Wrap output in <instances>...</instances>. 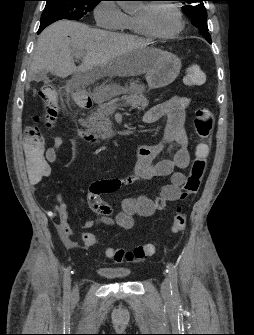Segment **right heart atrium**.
Instances as JSON below:
<instances>
[{
	"instance_id": "1",
	"label": "right heart atrium",
	"mask_w": 254,
	"mask_h": 335,
	"mask_svg": "<svg viewBox=\"0 0 254 335\" xmlns=\"http://www.w3.org/2000/svg\"><path fill=\"white\" fill-rule=\"evenodd\" d=\"M94 17L98 26L106 29H121L126 14L111 0L100 1L94 10Z\"/></svg>"
}]
</instances>
